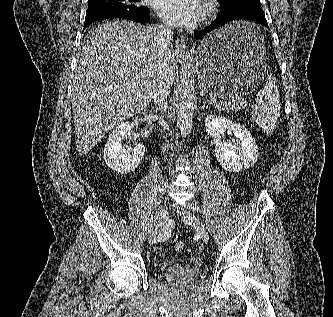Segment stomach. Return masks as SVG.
Wrapping results in <instances>:
<instances>
[{"label":"stomach","instance_id":"stomach-1","mask_svg":"<svg viewBox=\"0 0 333 317\" xmlns=\"http://www.w3.org/2000/svg\"><path fill=\"white\" fill-rule=\"evenodd\" d=\"M264 38L258 24L236 21L204 37L195 56L200 88L226 100L256 95L264 71Z\"/></svg>","mask_w":333,"mask_h":317}]
</instances>
